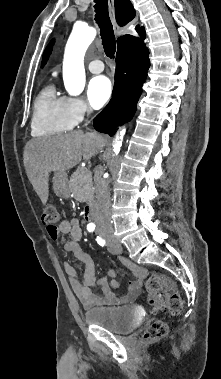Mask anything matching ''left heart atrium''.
Instances as JSON below:
<instances>
[{"mask_svg": "<svg viewBox=\"0 0 221 379\" xmlns=\"http://www.w3.org/2000/svg\"><path fill=\"white\" fill-rule=\"evenodd\" d=\"M112 92V83L106 76L94 77L87 88L88 100L96 109L101 108L110 100Z\"/></svg>", "mask_w": 221, "mask_h": 379, "instance_id": "left-heart-atrium-1", "label": "left heart atrium"}]
</instances>
